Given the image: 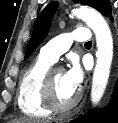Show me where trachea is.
Segmentation results:
<instances>
[{"label":"trachea","mask_w":118,"mask_h":123,"mask_svg":"<svg viewBox=\"0 0 118 123\" xmlns=\"http://www.w3.org/2000/svg\"><path fill=\"white\" fill-rule=\"evenodd\" d=\"M86 45H91L92 44V41H88L85 43Z\"/></svg>","instance_id":"3493384b"}]
</instances>
